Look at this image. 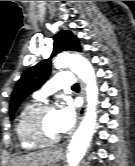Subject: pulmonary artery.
<instances>
[{
  "label": "pulmonary artery",
  "instance_id": "1",
  "mask_svg": "<svg viewBox=\"0 0 135 166\" xmlns=\"http://www.w3.org/2000/svg\"><path fill=\"white\" fill-rule=\"evenodd\" d=\"M74 85V76L72 72L65 70L57 72L52 79L47 81L43 88L36 92L35 96L38 99H44L53 91L60 88H70Z\"/></svg>",
  "mask_w": 135,
  "mask_h": 166
}]
</instances>
